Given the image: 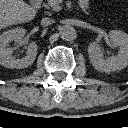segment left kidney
<instances>
[{"label": "left kidney", "mask_w": 128, "mask_h": 128, "mask_svg": "<svg viewBox=\"0 0 128 128\" xmlns=\"http://www.w3.org/2000/svg\"><path fill=\"white\" fill-rule=\"evenodd\" d=\"M109 38L114 46L119 47V51L117 55L108 59H104L103 51L97 42H92L88 46L90 62L96 70L106 73L122 70L128 65V34L112 30L109 32Z\"/></svg>", "instance_id": "obj_1"}]
</instances>
